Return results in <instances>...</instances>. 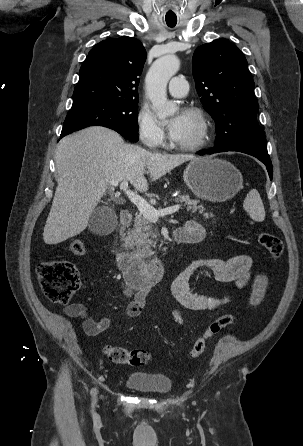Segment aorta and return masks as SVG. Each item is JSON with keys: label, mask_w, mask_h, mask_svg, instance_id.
I'll return each mask as SVG.
<instances>
[{"label": "aorta", "mask_w": 303, "mask_h": 446, "mask_svg": "<svg viewBox=\"0 0 303 446\" xmlns=\"http://www.w3.org/2000/svg\"><path fill=\"white\" fill-rule=\"evenodd\" d=\"M179 67V59L175 55L169 54L157 59L146 75V94L160 120L174 115L178 110L177 105L167 99L166 87Z\"/></svg>", "instance_id": "obj_1"}]
</instances>
